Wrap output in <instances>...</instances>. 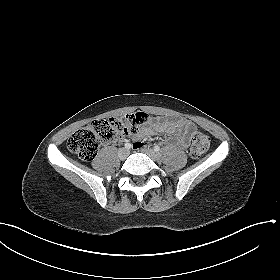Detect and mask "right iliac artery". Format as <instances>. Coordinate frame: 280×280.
Segmentation results:
<instances>
[{
    "label": "right iliac artery",
    "instance_id": "1",
    "mask_svg": "<svg viewBox=\"0 0 280 280\" xmlns=\"http://www.w3.org/2000/svg\"><path fill=\"white\" fill-rule=\"evenodd\" d=\"M131 147H132V145H131L130 143H126V144H125V148H126V149H130Z\"/></svg>",
    "mask_w": 280,
    "mask_h": 280
}]
</instances>
